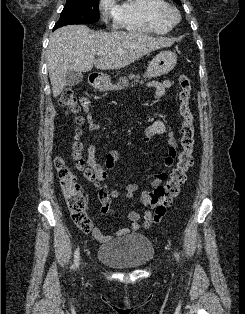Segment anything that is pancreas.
Here are the masks:
<instances>
[{"mask_svg":"<svg viewBox=\"0 0 245 314\" xmlns=\"http://www.w3.org/2000/svg\"><path fill=\"white\" fill-rule=\"evenodd\" d=\"M129 78H136V80H135V82H137L138 81V78H139V76H135V75H131V76H129ZM128 84V80L127 79H120V82L118 83V87L119 88H121L122 87V85L124 86V85H127Z\"/></svg>","mask_w":245,"mask_h":314,"instance_id":"obj_1","label":"pancreas"}]
</instances>
